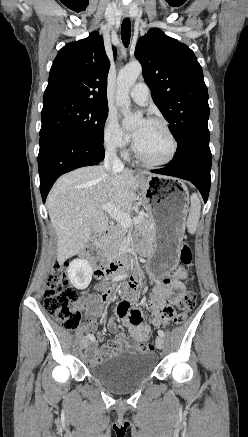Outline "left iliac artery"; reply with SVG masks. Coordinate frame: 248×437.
Segmentation results:
<instances>
[{
  "label": "left iliac artery",
  "mask_w": 248,
  "mask_h": 437,
  "mask_svg": "<svg viewBox=\"0 0 248 437\" xmlns=\"http://www.w3.org/2000/svg\"><path fill=\"white\" fill-rule=\"evenodd\" d=\"M158 335L161 336V337H164V331L158 330Z\"/></svg>",
  "instance_id": "44dca946"
}]
</instances>
